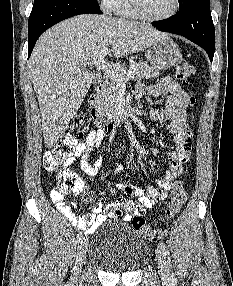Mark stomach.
<instances>
[{"label": "stomach", "instance_id": "obj_1", "mask_svg": "<svg viewBox=\"0 0 233 286\" xmlns=\"http://www.w3.org/2000/svg\"><path fill=\"white\" fill-rule=\"evenodd\" d=\"M145 57L149 66L160 71L173 67L181 58V52L178 45L166 37L147 48Z\"/></svg>", "mask_w": 233, "mask_h": 286}]
</instances>
